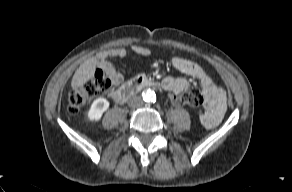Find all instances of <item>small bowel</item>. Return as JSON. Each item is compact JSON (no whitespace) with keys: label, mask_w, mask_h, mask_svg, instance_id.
Instances as JSON below:
<instances>
[{"label":"small bowel","mask_w":292,"mask_h":192,"mask_svg":"<svg viewBox=\"0 0 292 192\" xmlns=\"http://www.w3.org/2000/svg\"><path fill=\"white\" fill-rule=\"evenodd\" d=\"M131 51L140 56H148L150 50L143 46H133ZM127 54L124 48H114L108 50L99 60L98 66L103 69L112 81L113 88L109 95L112 99L119 102L124 77L109 61V58H123ZM172 66L179 72L197 79L203 89L205 96L204 111L200 114L201 123L212 128L219 124L227 108V95L225 90L220 87L197 63L182 57H173ZM189 86L188 81L182 77H166L162 82L165 90L180 94Z\"/></svg>","instance_id":"small-bowel-1"}]
</instances>
